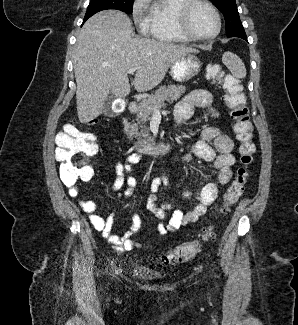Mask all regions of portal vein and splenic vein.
<instances>
[{"label": "portal vein and splenic vein", "instance_id": "portal-vein-and-splenic-vein-1", "mask_svg": "<svg viewBox=\"0 0 298 325\" xmlns=\"http://www.w3.org/2000/svg\"><path fill=\"white\" fill-rule=\"evenodd\" d=\"M135 70H137V68H129L127 72H129V74H134ZM153 110H154V114H160L161 112L160 106H154Z\"/></svg>", "mask_w": 298, "mask_h": 325}]
</instances>
